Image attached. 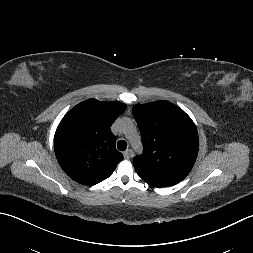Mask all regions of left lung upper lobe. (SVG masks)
<instances>
[{
	"label": "left lung upper lobe",
	"instance_id": "left-lung-upper-lobe-1",
	"mask_svg": "<svg viewBox=\"0 0 253 253\" xmlns=\"http://www.w3.org/2000/svg\"><path fill=\"white\" fill-rule=\"evenodd\" d=\"M133 115L144 153L133 164L138 175L155 187L173 186L191 171L199 138L191 118L167 101L136 104Z\"/></svg>",
	"mask_w": 253,
	"mask_h": 253
}]
</instances>
